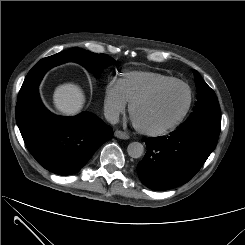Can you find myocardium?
<instances>
[{"label":"myocardium","instance_id":"myocardium-1","mask_svg":"<svg viewBox=\"0 0 245 245\" xmlns=\"http://www.w3.org/2000/svg\"><path fill=\"white\" fill-rule=\"evenodd\" d=\"M176 84L182 85L187 89L188 100H187V104H186L185 108L183 109V111L180 113V115L177 117V119L174 122H172L170 125H168L164 128L157 129V130L145 129V128H143V127H141L135 123V121L133 119V115H134L135 109L139 105L153 99L154 97H156L159 93H161L166 88H168L172 85H176ZM192 103H193V93H192L190 86L181 80L173 79V80H170L168 82L162 83V84L154 87L150 91L146 92L145 94H143V95L137 97L135 100H133L130 103L129 114H130V117L133 120L134 126L138 132H140L141 134L150 136V137H161V136H165V135L173 132L183 122V120L185 119V117L187 116V114L189 113V111L191 109Z\"/></svg>","mask_w":245,"mask_h":245}]
</instances>
